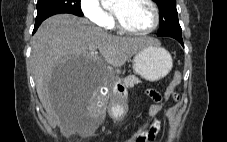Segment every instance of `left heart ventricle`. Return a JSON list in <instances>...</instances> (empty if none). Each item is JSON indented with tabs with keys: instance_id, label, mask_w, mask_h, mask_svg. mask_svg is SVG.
I'll list each match as a JSON object with an SVG mask.
<instances>
[{
	"instance_id": "b2bd125f",
	"label": "left heart ventricle",
	"mask_w": 227,
	"mask_h": 142,
	"mask_svg": "<svg viewBox=\"0 0 227 142\" xmlns=\"http://www.w3.org/2000/svg\"><path fill=\"white\" fill-rule=\"evenodd\" d=\"M112 12L133 30L146 29L153 22V12L146 0H116Z\"/></svg>"
}]
</instances>
